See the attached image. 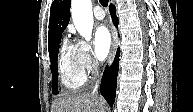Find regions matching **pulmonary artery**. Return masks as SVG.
<instances>
[{"instance_id": "e3ab8cb5", "label": "pulmonary artery", "mask_w": 193, "mask_h": 112, "mask_svg": "<svg viewBox=\"0 0 193 112\" xmlns=\"http://www.w3.org/2000/svg\"><path fill=\"white\" fill-rule=\"evenodd\" d=\"M93 15L96 19L102 20L105 17V12L100 6H96L93 10Z\"/></svg>"}]
</instances>
